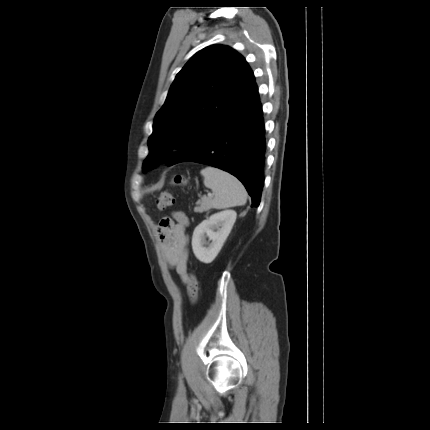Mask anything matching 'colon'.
<instances>
[{
    "mask_svg": "<svg viewBox=\"0 0 430 430\" xmlns=\"http://www.w3.org/2000/svg\"><path fill=\"white\" fill-rule=\"evenodd\" d=\"M172 183L177 186L186 185V179L182 175L173 178ZM175 202L173 194L169 191L162 192L157 198V207L159 210L170 208ZM188 296L191 304H195L198 298V280L194 273L188 274Z\"/></svg>",
    "mask_w": 430,
    "mask_h": 430,
    "instance_id": "obj_1",
    "label": "colon"
}]
</instances>
